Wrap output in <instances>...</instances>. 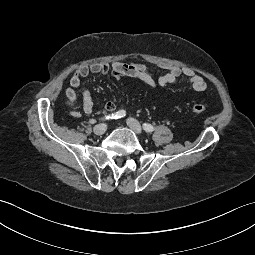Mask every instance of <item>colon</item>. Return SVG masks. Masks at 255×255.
<instances>
[{"label":"colon","instance_id":"1","mask_svg":"<svg viewBox=\"0 0 255 255\" xmlns=\"http://www.w3.org/2000/svg\"><path fill=\"white\" fill-rule=\"evenodd\" d=\"M70 102L72 103L73 101ZM192 110L197 114H204L207 111V107L205 104L197 102L192 105Z\"/></svg>","mask_w":255,"mask_h":255}]
</instances>
